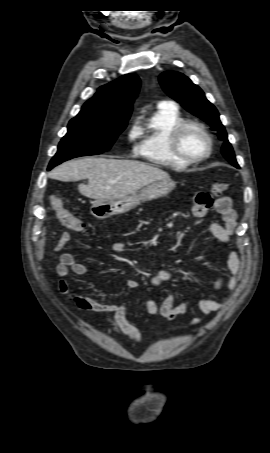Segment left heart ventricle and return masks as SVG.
I'll use <instances>...</instances> for the list:
<instances>
[{"label":"left heart ventricle","mask_w":270,"mask_h":453,"mask_svg":"<svg viewBox=\"0 0 270 453\" xmlns=\"http://www.w3.org/2000/svg\"><path fill=\"white\" fill-rule=\"evenodd\" d=\"M180 145L182 151L191 157H199L207 151L206 137L201 131L193 127L183 132Z\"/></svg>","instance_id":"1"}]
</instances>
